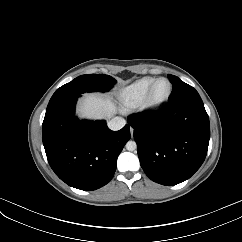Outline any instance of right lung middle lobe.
<instances>
[{
    "label": "right lung middle lobe",
    "instance_id": "right-lung-middle-lobe-1",
    "mask_svg": "<svg viewBox=\"0 0 242 242\" xmlns=\"http://www.w3.org/2000/svg\"><path fill=\"white\" fill-rule=\"evenodd\" d=\"M116 83L115 79L108 75L87 74L81 75L71 82L61 86L51 97L49 104L60 98L80 95L84 92L110 90Z\"/></svg>",
    "mask_w": 242,
    "mask_h": 242
}]
</instances>
